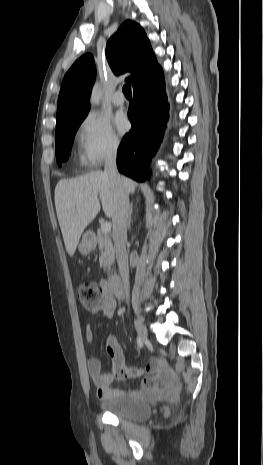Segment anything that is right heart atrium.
Segmentation results:
<instances>
[{
    "label": "right heart atrium",
    "mask_w": 263,
    "mask_h": 465,
    "mask_svg": "<svg viewBox=\"0 0 263 465\" xmlns=\"http://www.w3.org/2000/svg\"><path fill=\"white\" fill-rule=\"evenodd\" d=\"M81 163L96 168L118 152L121 140L110 122L96 112L88 113L77 130Z\"/></svg>",
    "instance_id": "right-heart-atrium-1"
}]
</instances>
